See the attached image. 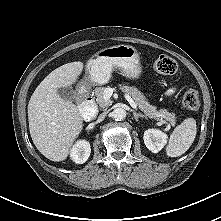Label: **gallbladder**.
Returning a JSON list of instances; mask_svg holds the SVG:
<instances>
[{"label": "gallbladder", "instance_id": "1", "mask_svg": "<svg viewBox=\"0 0 221 221\" xmlns=\"http://www.w3.org/2000/svg\"><path fill=\"white\" fill-rule=\"evenodd\" d=\"M58 94L61 98L69 101L77 100V93L70 87H62L58 89Z\"/></svg>", "mask_w": 221, "mask_h": 221}]
</instances>
